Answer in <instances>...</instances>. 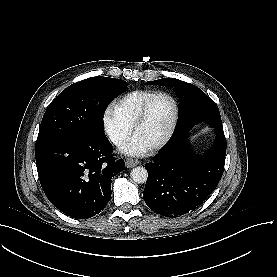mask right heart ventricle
Here are the masks:
<instances>
[{"instance_id":"obj_1","label":"right heart ventricle","mask_w":277,"mask_h":277,"mask_svg":"<svg viewBox=\"0 0 277 277\" xmlns=\"http://www.w3.org/2000/svg\"><path fill=\"white\" fill-rule=\"evenodd\" d=\"M153 95V92L147 90L134 91L126 95L116 104V114L122 121L131 124Z\"/></svg>"}]
</instances>
